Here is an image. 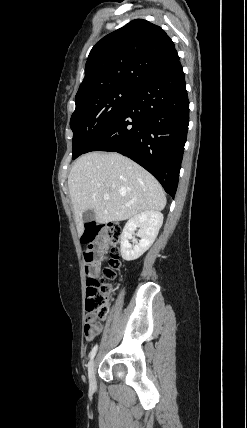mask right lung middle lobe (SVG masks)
Segmentation results:
<instances>
[{
	"mask_svg": "<svg viewBox=\"0 0 247 428\" xmlns=\"http://www.w3.org/2000/svg\"><path fill=\"white\" fill-rule=\"evenodd\" d=\"M139 90L115 86L75 97L76 109L70 120L73 156L77 158L128 106Z\"/></svg>",
	"mask_w": 247,
	"mask_h": 428,
	"instance_id": "right-lung-middle-lobe-1",
	"label": "right lung middle lobe"
}]
</instances>
